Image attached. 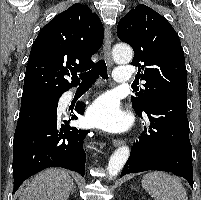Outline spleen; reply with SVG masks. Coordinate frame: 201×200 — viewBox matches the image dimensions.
Listing matches in <instances>:
<instances>
[{
  "label": "spleen",
  "instance_id": "1",
  "mask_svg": "<svg viewBox=\"0 0 201 200\" xmlns=\"http://www.w3.org/2000/svg\"><path fill=\"white\" fill-rule=\"evenodd\" d=\"M142 187L155 200H188L186 190L181 182L164 172L147 173L143 177Z\"/></svg>",
  "mask_w": 201,
  "mask_h": 200
}]
</instances>
